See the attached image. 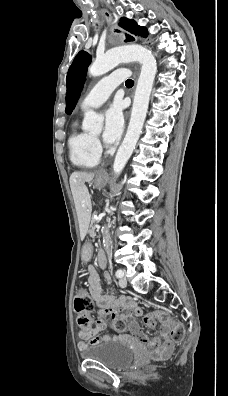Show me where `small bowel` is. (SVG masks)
Returning a JSON list of instances; mask_svg holds the SVG:
<instances>
[{
	"label": "small bowel",
	"mask_w": 228,
	"mask_h": 396,
	"mask_svg": "<svg viewBox=\"0 0 228 396\" xmlns=\"http://www.w3.org/2000/svg\"><path fill=\"white\" fill-rule=\"evenodd\" d=\"M100 256L105 258L103 253H100L98 258ZM89 259V253H85L83 261L87 263ZM104 281L108 286L111 284V277L108 273L104 274ZM88 289L90 296L97 303L98 312L102 318L97 321L95 327L89 326L79 331L80 341L78 342V347L80 349L87 345L107 340L128 338L125 335H100V332L107 328L111 321L122 320L126 323L131 336L145 347L152 358L161 360L168 358L172 354L174 344L167 338L166 331H163L164 340L162 342L158 338L149 340L135 319V316L142 315L143 310L134 301L125 296L117 297L113 293L104 294L99 275L91 265L88 266Z\"/></svg>",
	"instance_id": "c3829d8e"
}]
</instances>
